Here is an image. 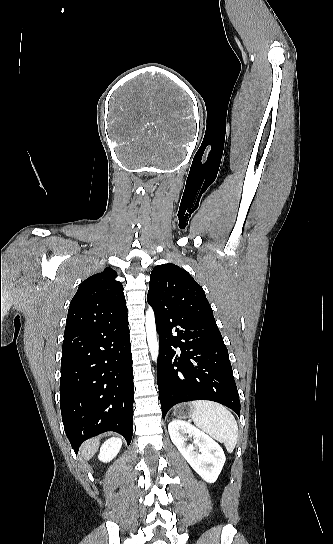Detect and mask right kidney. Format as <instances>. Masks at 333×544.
Instances as JSON below:
<instances>
[{"label":"right kidney","mask_w":333,"mask_h":544,"mask_svg":"<svg viewBox=\"0 0 333 544\" xmlns=\"http://www.w3.org/2000/svg\"><path fill=\"white\" fill-rule=\"evenodd\" d=\"M122 441L119 438L108 439L100 448L98 458L103 463L110 462L120 451Z\"/></svg>","instance_id":"ca27d5eb"}]
</instances>
